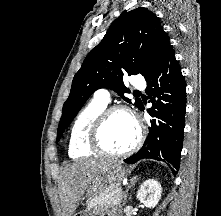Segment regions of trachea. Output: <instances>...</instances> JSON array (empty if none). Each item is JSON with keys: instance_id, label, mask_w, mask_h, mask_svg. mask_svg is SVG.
<instances>
[{"instance_id": "1", "label": "trachea", "mask_w": 221, "mask_h": 216, "mask_svg": "<svg viewBox=\"0 0 221 216\" xmlns=\"http://www.w3.org/2000/svg\"><path fill=\"white\" fill-rule=\"evenodd\" d=\"M134 94H140V92L139 91H134Z\"/></svg>"}]
</instances>
